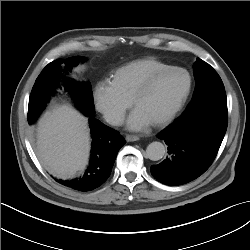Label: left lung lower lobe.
I'll return each instance as SVG.
<instances>
[{"mask_svg":"<svg viewBox=\"0 0 250 250\" xmlns=\"http://www.w3.org/2000/svg\"><path fill=\"white\" fill-rule=\"evenodd\" d=\"M226 129L227 97L220 91L187 109L157 135L168 145V156L151 166V174L170 186L198 178L215 159Z\"/></svg>","mask_w":250,"mask_h":250,"instance_id":"obj_1","label":"left lung lower lobe"}]
</instances>
